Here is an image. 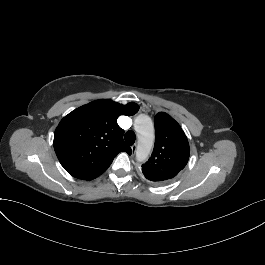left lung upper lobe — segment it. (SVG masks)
Returning <instances> with one entry per match:
<instances>
[{"instance_id":"1","label":"left lung upper lobe","mask_w":265,"mask_h":265,"mask_svg":"<svg viewBox=\"0 0 265 265\" xmlns=\"http://www.w3.org/2000/svg\"><path fill=\"white\" fill-rule=\"evenodd\" d=\"M154 124V151L142 165V172L146 179L161 185L174 178L186 166L190 148L184 131L167 113H157Z\"/></svg>"}]
</instances>
